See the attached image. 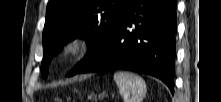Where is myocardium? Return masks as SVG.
<instances>
[{"label":"myocardium","mask_w":221,"mask_h":102,"mask_svg":"<svg viewBox=\"0 0 221 102\" xmlns=\"http://www.w3.org/2000/svg\"><path fill=\"white\" fill-rule=\"evenodd\" d=\"M92 46L93 42L90 37L84 34H77L65 42L63 52L70 60H80L90 52Z\"/></svg>","instance_id":"f54148a6"}]
</instances>
